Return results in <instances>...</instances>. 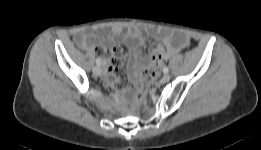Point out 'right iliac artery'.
Returning <instances> with one entry per match:
<instances>
[{
    "mask_svg": "<svg viewBox=\"0 0 261 150\" xmlns=\"http://www.w3.org/2000/svg\"><path fill=\"white\" fill-rule=\"evenodd\" d=\"M96 64L100 65L101 64V60L99 58L96 59Z\"/></svg>",
    "mask_w": 261,
    "mask_h": 150,
    "instance_id": "obj_1",
    "label": "right iliac artery"
}]
</instances>
